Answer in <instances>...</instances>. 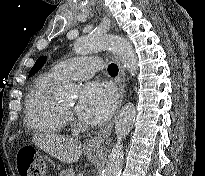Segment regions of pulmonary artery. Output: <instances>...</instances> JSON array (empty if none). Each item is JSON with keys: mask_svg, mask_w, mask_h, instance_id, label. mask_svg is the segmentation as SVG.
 Wrapping results in <instances>:
<instances>
[{"mask_svg": "<svg viewBox=\"0 0 205 176\" xmlns=\"http://www.w3.org/2000/svg\"><path fill=\"white\" fill-rule=\"evenodd\" d=\"M100 63V57H73L55 64L52 72L61 80L84 79L100 70Z\"/></svg>", "mask_w": 205, "mask_h": 176, "instance_id": "pulmonary-artery-1", "label": "pulmonary artery"}]
</instances>
